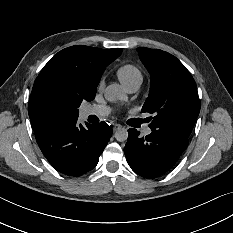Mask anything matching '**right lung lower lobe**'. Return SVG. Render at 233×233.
<instances>
[{
	"label": "right lung lower lobe",
	"mask_w": 233,
	"mask_h": 233,
	"mask_svg": "<svg viewBox=\"0 0 233 233\" xmlns=\"http://www.w3.org/2000/svg\"><path fill=\"white\" fill-rule=\"evenodd\" d=\"M86 127L70 119L52 121L34 130L43 155L65 175L79 176L92 170L112 135V127L104 121L87 123Z\"/></svg>",
	"instance_id": "1"
}]
</instances>
